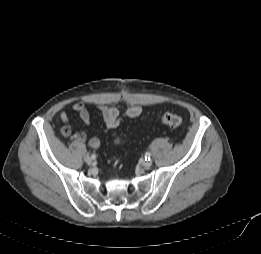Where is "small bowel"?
I'll use <instances>...</instances> for the list:
<instances>
[{"label": "small bowel", "instance_id": "small-bowel-1", "mask_svg": "<svg viewBox=\"0 0 261 254\" xmlns=\"http://www.w3.org/2000/svg\"><path fill=\"white\" fill-rule=\"evenodd\" d=\"M72 109L79 115L85 125L90 124L91 114L84 102H76L72 106ZM99 110L104 120L105 131L117 128L124 118H136L143 112L142 106L139 105L130 106L123 112H120L116 107L108 105H100ZM60 120L63 123L60 132L64 137H71L80 142L87 141L92 149H98L100 147V140L97 137H88L87 133L83 131H72L66 112L63 111L60 113Z\"/></svg>", "mask_w": 261, "mask_h": 254}]
</instances>
